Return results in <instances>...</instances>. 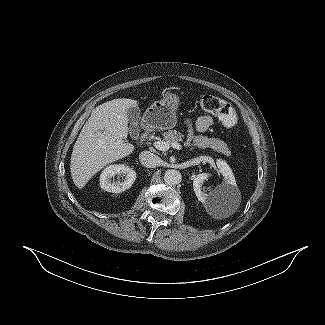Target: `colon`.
Masks as SVG:
<instances>
[{"instance_id":"obj_1","label":"colon","mask_w":325,"mask_h":325,"mask_svg":"<svg viewBox=\"0 0 325 325\" xmlns=\"http://www.w3.org/2000/svg\"><path fill=\"white\" fill-rule=\"evenodd\" d=\"M200 105L203 110L214 114L226 128H233L237 125V113L225 100L214 95H205L201 98Z\"/></svg>"}]
</instances>
